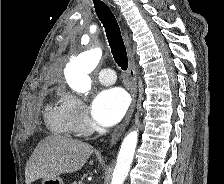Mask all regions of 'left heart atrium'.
<instances>
[{
    "label": "left heart atrium",
    "instance_id": "39dd6f15",
    "mask_svg": "<svg viewBox=\"0 0 224 184\" xmlns=\"http://www.w3.org/2000/svg\"><path fill=\"white\" fill-rule=\"evenodd\" d=\"M128 107V97L119 88L100 92L93 101L92 116L102 126H113L121 120Z\"/></svg>",
    "mask_w": 224,
    "mask_h": 184
}]
</instances>
